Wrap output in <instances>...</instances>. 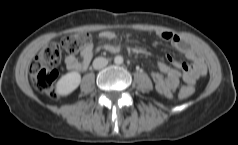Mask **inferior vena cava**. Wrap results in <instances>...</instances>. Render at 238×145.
Here are the masks:
<instances>
[{
    "instance_id": "1",
    "label": "inferior vena cava",
    "mask_w": 238,
    "mask_h": 145,
    "mask_svg": "<svg viewBox=\"0 0 238 145\" xmlns=\"http://www.w3.org/2000/svg\"><path fill=\"white\" fill-rule=\"evenodd\" d=\"M108 64V60L104 57H97L93 61V68L96 70L103 69Z\"/></svg>"
}]
</instances>
